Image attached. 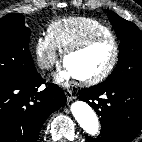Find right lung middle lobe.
Listing matches in <instances>:
<instances>
[{
    "label": "right lung middle lobe",
    "instance_id": "1",
    "mask_svg": "<svg viewBox=\"0 0 142 142\" xmlns=\"http://www.w3.org/2000/svg\"><path fill=\"white\" fill-rule=\"evenodd\" d=\"M30 29L22 14L0 19V83L25 79L36 72L29 51Z\"/></svg>",
    "mask_w": 142,
    "mask_h": 142
}]
</instances>
